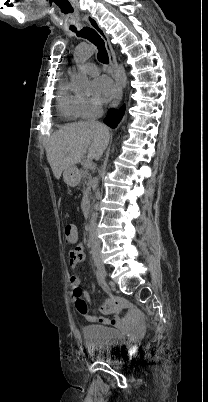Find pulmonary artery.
Instances as JSON below:
<instances>
[{"label": "pulmonary artery", "instance_id": "e3ab8cb5", "mask_svg": "<svg viewBox=\"0 0 208 402\" xmlns=\"http://www.w3.org/2000/svg\"><path fill=\"white\" fill-rule=\"evenodd\" d=\"M80 51H82V52L85 51L84 46L80 47ZM77 66H78V68L84 70L88 74H95L98 70V67L93 63H86L83 65H77Z\"/></svg>", "mask_w": 208, "mask_h": 402}]
</instances>
